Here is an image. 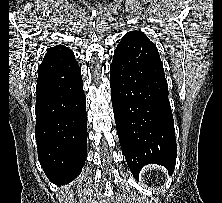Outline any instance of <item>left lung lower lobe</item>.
I'll use <instances>...</instances> for the list:
<instances>
[{
    "instance_id": "left-lung-lower-lobe-1",
    "label": "left lung lower lobe",
    "mask_w": 222,
    "mask_h": 203,
    "mask_svg": "<svg viewBox=\"0 0 222 203\" xmlns=\"http://www.w3.org/2000/svg\"><path fill=\"white\" fill-rule=\"evenodd\" d=\"M111 100L122 152L134 177L146 164L174 171L177 147L163 64L140 31L121 39L111 63Z\"/></svg>"
}]
</instances>
